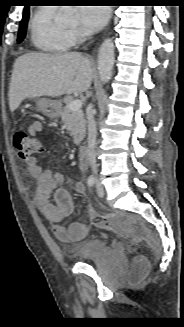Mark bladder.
Instances as JSON below:
<instances>
[{"label": "bladder", "mask_w": 184, "mask_h": 327, "mask_svg": "<svg viewBox=\"0 0 184 327\" xmlns=\"http://www.w3.org/2000/svg\"><path fill=\"white\" fill-rule=\"evenodd\" d=\"M81 262L97 263L99 260L110 257L116 261V266L126 269L128 263L114 248L101 238H94L72 248Z\"/></svg>", "instance_id": "31cf9c89"}]
</instances>
